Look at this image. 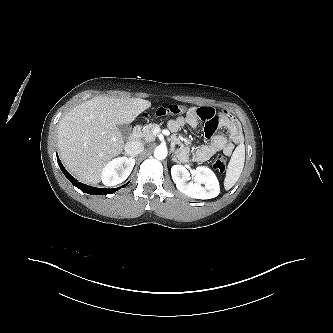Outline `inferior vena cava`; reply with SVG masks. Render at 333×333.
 Masks as SVG:
<instances>
[{"mask_svg": "<svg viewBox=\"0 0 333 333\" xmlns=\"http://www.w3.org/2000/svg\"><path fill=\"white\" fill-rule=\"evenodd\" d=\"M143 150H144V146L139 141H130V142H127L125 145V152L127 153V155H130V156L138 155V154L142 153Z\"/></svg>", "mask_w": 333, "mask_h": 333, "instance_id": "602c4592", "label": "inferior vena cava"}]
</instances>
